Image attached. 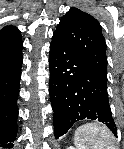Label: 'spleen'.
<instances>
[{
  "label": "spleen",
  "instance_id": "obj_1",
  "mask_svg": "<svg viewBox=\"0 0 124 149\" xmlns=\"http://www.w3.org/2000/svg\"><path fill=\"white\" fill-rule=\"evenodd\" d=\"M110 142L108 130L92 123L79 127L74 137V144L78 149H115Z\"/></svg>",
  "mask_w": 124,
  "mask_h": 149
}]
</instances>
